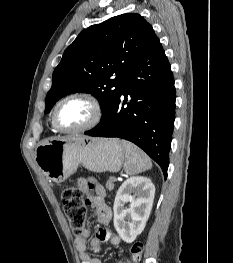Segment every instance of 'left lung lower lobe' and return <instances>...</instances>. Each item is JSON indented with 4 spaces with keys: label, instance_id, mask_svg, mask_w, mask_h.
I'll use <instances>...</instances> for the list:
<instances>
[{
    "label": "left lung lower lobe",
    "instance_id": "obj_1",
    "mask_svg": "<svg viewBox=\"0 0 233 263\" xmlns=\"http://www.w3.org/2000/svg\"><path fill=\"white\" fill-rule=\"evenodd\" d=\"M175 99L171 66L156 37L125 76L111 110L85 134L133 142L160 165L166 179Z\"/></svg>",
    "mask_w": 233,
    "mask_h": 263
}]
</instances>
